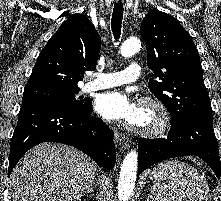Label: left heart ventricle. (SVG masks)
Masks as SVG:
<instances>
[{
    "label": "left heart ventricle",
    "instance_id": "left-heart-ventricle-1",
    "mask_svg": "<svg viewBox=\"0 0 221 201\" xmlns=\"http://www.w3.org/2000/svg\"><path fill=\"white\" fill-rule=\"evenodd\" d=\"M153 117L147 110H142L139 108L138 115L135 117V119L132 121L133 124L138 126H148L152 124Z\"/></svg>",
    "mask_w": 221,
    "mask_h": 201
}]
</instances>
